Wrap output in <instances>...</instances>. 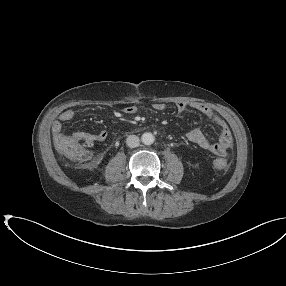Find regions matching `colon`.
Masks as SVG:
<instances>
[{"instance_id": "1", "label": "colon", "mask_w": 286, "mask_h": 286, "mask_svg": "<svg viewBox=\"0 0 286 286\" xmlns=\"http://www.w3.org/2000/svg\"><path fill=\"white\" fill-rule=\"evenodd\" d=\"M55 145L62 155L71 160L87 163L92 158L85 148V139L81 135L61 133L55 137ZM229 164L226 159H217L214 162L215 168L220 170L226 169Z\"/></svg>"}]
</instances>
